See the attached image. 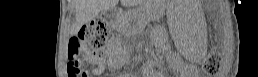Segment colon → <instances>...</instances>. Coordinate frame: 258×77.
<instances>
[{"label":"colon","instance_id":"colon-1","mask_svg":"<svg viewBox=\"0 0 258 77\" xmlns=\"http://www.w3.org/2000/svg\"><path fill=\"white\" fill-rule=\"evenodd\" d=\"M109 29L106 24L99 19L92 21L84 26L78 37L69 45V64L68 73L70 76H76L80 73L83 66L82 54L85 49L99 48L106 44ZM202 67L208 74H216L220 67V59L217 53L208 54L203 62Z\"/></svg>","mask_w":258,"mask_h":77}]
</instances>
